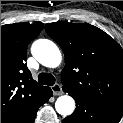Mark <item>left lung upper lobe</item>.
I'll return each instance as SVG.
<instances>
[{
    "mask_svg": "<svg viewBox=\"0 0 123 123\" xmlns=\"http://www.w3.org/2000/svg\"><path fill=\"white\" fill-rule=\"evenodd\" d=\"M45 30L65 55L63 90L71 96L123 110V49L120 45L88 23H49Z\"/></svg>",
    "mask_w": 123,
    "mask_h": 123,
    "instance_id": "5c2ea615",
    "label": "left lung upper lobe"
}]
</instances>
